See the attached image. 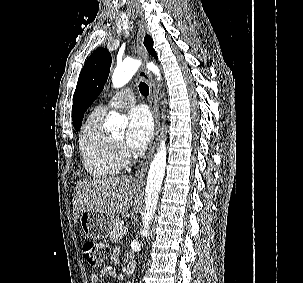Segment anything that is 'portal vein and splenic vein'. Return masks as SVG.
Masks as SVG:
<instances>
[{
	"mask_svg": "<svg viewBox=\"0 0 303 283\" xmlns=\"http://www.w3.org/2000/svg\"><path fill=\"white\" fill-rule=\"evenodd\" d=\"M120 224L122 225V223L120 222ZM123 234H126L128 232V228L127 227H123V230H122Z\"/></svg>",
	"mask_w": 303,
	"mask_h": 283,
	"instance_id": "1",
	"label": "portal vein and splenic vein"
}]
</instances>
